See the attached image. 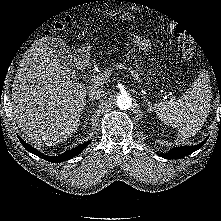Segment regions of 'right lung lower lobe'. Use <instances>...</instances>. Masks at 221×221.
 Wrapping results in <instances>:
<instances>
[{
  "instance_id": "obj_1",
  "label": "right lung lower lobe",
  "mask_w": 221,
  "mask_h": 221,
  "mask_svg": "<svg viewBox=\"0 0 221 221\" xmlns=\"http://www.w3.org/2000/svg\"><path fill=\"white\" fill-rule=\"evenodd\" d=\"M21 144L25 147L26 150H28L29 152L37 155L38 157H41L47 161H50L52 163H60L62 161L68 160L70 158L75 157L76 155H78L86 146H88L91 141H87L81 145H78L77 147L68 150L66 152H64L63 154L59 155V156H48V155H44L43 153L39 152L37 149H35L34 147L30 146L29 144H27L23 139H21L18 136Z\"/></svg>"
}]
</instances>
